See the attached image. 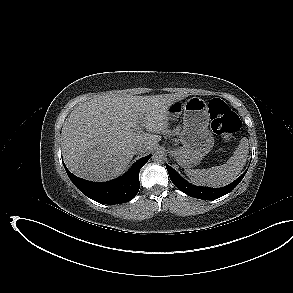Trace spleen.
<instances>
[{"label": "spleen", "instance_id": "3e777b00", "mask_svg": "<svg viewBox=\"0 0 293 293\" xmlns=\"http://www.w3.org/2000/svg\"><path fill=\"white\" fill-rule=\"evenodd\" d=\"M247 157L248 139L244 137L226 164L202 170L185 169V173L197 185L214 188L226 186L237 178L246 164Z\"/></svg>", "mask_w": 293, "mask_h": 293}]
</instances>
